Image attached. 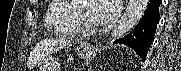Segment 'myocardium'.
<instances>
[{
    "mask_svg": "<svg viewBox=\"0 0 181 71\" xmlns=\"http://www.w3.org/2000/svg\"><path fill=\"white\" fill-rule=\"evenodd\" d=\"M81 2L83 1H78L74 5L76 19L83 32L94 33L99 29V26L89 20L88 15L86 14V4H82Z\"/></svg>",
    "mask_w": 181,
    "mask_h": 71,
    "instance_id": "1",
    "label": "myocardium"
}]
</instances>
